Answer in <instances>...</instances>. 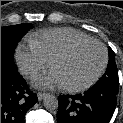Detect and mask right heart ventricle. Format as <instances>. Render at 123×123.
I'll return each instance as SVG.
<instances>
[{
  "instance_id": "right-heart-ventricle-1",
  "label": "right heart ventricle",
  "mask_w": 123,
  "mask_h": 123,
  "mask_svg": "<svg viewBox=\"0 0 123 123\" xmlns=\"http://www.w3.org/2000/svg\"><path fill=\"white\" fill-rule=\"evenodd\" d=\"M85 33L68 27L50 28L33 34L29 43L36 47L49 61L68 45L90 39Z\"/></svg>"
}]
</instances>
